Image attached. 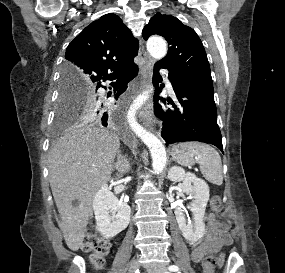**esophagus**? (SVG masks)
I'll list each match as a JSON object with an SVG mask.
<instances>
[{"instance_id": "1", "label": "esophagus", "mask_w": 285, "mask_h": 273, "mask_svg": "<svg viewBox=\"0 0 285 273\" xmlns=\"http://www.w3.org/2000/svg\"><path fill=\"white\" fill-rule=\"evenodd\" d=\"M142 53L145 58L143 66L140 68V77H141V88H147L151 83L152 78V61L148 58L146 52L142 48ZM143 124L151 128L153 122V104L152 101H148L147 104L142 108L139 114Z\"/></svg>"}]
</instances>
